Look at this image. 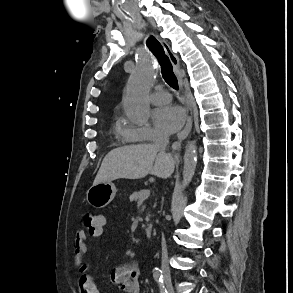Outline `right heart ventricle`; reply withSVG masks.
<instances>
[{"mask_svg":"<svg viewBox=\"0 0 293 293\" xmlns=\"http://www.w3.org/2000/svg\"><path fill=\"white\" fill-rule=\"evenodd\" d=\"M118 132L121 133L125 137L126 127L119 125L118 126ZM126 138V137H125ZM127 139V138H126ZM128 140V139H127ZM131 141V140H130Z\"/></svg>","mask_w":293,"mask_h":293,"instance_id":"1","label":"right heart ventricle"}]
</instances>
